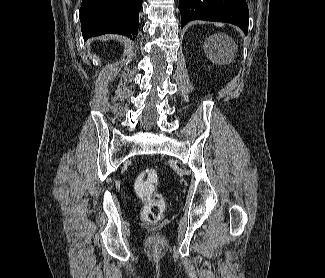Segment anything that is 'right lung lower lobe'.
Returning a JSON list of instances; mask_svg holds the SVG:
<instances>
[{
	"mask_svg": "<svg viewBox=\"0 0 325 278\" xmlns=\"http://www.w3.org/2000/svg\"><path fill=\"white\" fill-rule=\"evenodd\" d=\"M141 0H83L80 21L84 38L106 33L138 34Z\"/></svg>",
	"mask_w": 325,
	"mask_h": 278,
	"instance_id": "1",
	"label": "right lung lower lobe"
}]
</instances>
